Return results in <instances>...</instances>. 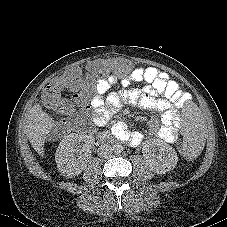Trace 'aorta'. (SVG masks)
I'll return each instance as SVG.
<instances>
[{"label": "aorta", "mask_w": 227, "mask_h": 227, "mask_svg": "<svg viewBox=\"0 0 227 227\" xmlns=\"http://www.w3.org/2000/svg\"><path fill=\"white\" fill-rule=\"evenodd\" d=\"M122 150H123L122 145H120V144H118V143L113 145V151H114L115 153H121Z\"/></svg>", "instance_id": "762f6f07"}]
</instances>
